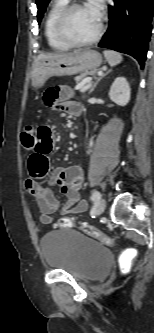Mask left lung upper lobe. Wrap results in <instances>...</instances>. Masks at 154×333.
I'll return each instance as SVG.
<instances>
[{
  "label": "left lung upper lobe",
  "mask_w": 154,
  "mask_h": 333,
  "mask_svg": "<svg viewBox=\"0 0 154 333\" xmlns=\"http://www.w3.org/2000/svg\"><path fill=\"white\" fill-rule=\"evenodd\" d=\"M49 2H50V0H36V4H37V8H38V13H37L38 24H40L43 14H44Z\"/></svg>",
  "instance_id": "1"
}]
</instances>
